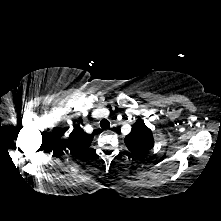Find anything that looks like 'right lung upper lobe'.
<instances>
[{"label":"right lung upper lobe","instance_id":"1","mask_svg":"<svg viewBox=\"0 0 221 221\" xmlns=\"http://www.w3.org/2000/svg\"><path fill=\"white\" fill-rule=\"evenodd\" d=\"M92 140V135L86 134L80 126L76 125L69 135L68 148L65 150L72 156L81 155L87 151Z\"/></svg>","mask_w":221,"mask_h":221}]
</instances>
